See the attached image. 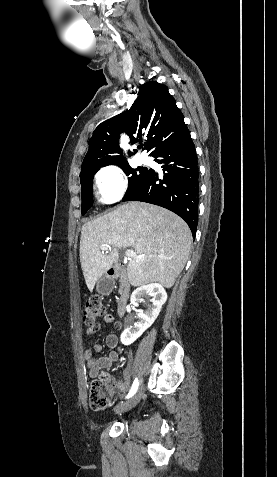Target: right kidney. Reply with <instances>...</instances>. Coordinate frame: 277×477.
<instances>
[{"instance_id": "obj_1", "label": "right kidney", "mask_w": 277, "mask_h": 477, "mask_svg": "<svg viewBox=\"0 0 277 477\" xmlns=\"http://www.w3.org/2000/svg\"><path fill=\"white\" fill-rule=\"evenodd\" d=\"M143 297H151V305L145 311H138V322L133 325L127 324L120 337L121 343L124 345L132 344L154 323L161 311L162 305L167 300V293L161 284L151 283L134 290L130 302L134 306H138Z\"/></svg>"}]
</instances>
